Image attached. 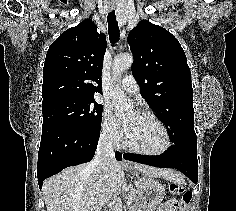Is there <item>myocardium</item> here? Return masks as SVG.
Returning a JSON list of instances; mask_svg holds the SVG:
<instances>
[{"label": "myocardium", "mask_w": 236, "mask_h": 211, "mask_svg": "<svg viewBox=\"0 0 236 211\" xmlns=\"http://www.w3.org/2000/svg\"><path fill=\"white\" fill-rule=\"evenodd\" d=\"M137 113L152 119L155 123H157L160 126V128L162 129L163 134H164V145L159 151H156V152H149V151H143V150L137 149V148L133 147L127 141L125 129H124L123 139H122L123 147L133 153L145 155V156H161V155L165 154L170 149V146H171V137H170L167 126L155 114H153L152 112H150L148 110H140Z\"/></svg>", "instance_id": "myocardium-1"}]
</instances>
